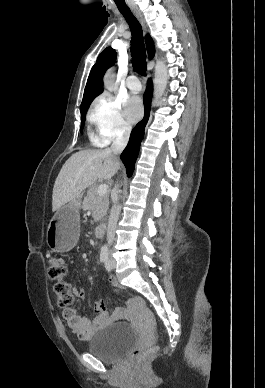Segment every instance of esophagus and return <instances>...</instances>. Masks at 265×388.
I'll list each match as a JSON object with an SVG mask.
<instances>
[{"label":"esophagus","mask_w":265,"mask_h":388,"mask_svg":"<svg viewBox=\"0 0 265 388\" xmlns=\"http://www.w3.org/2000/svg\"><path fill=\"white\" fill-rule=\"evenodd\" d=\"M131 12L133 13V15H135V17L137 18V20L140 22V24H141L142 27H143V30L147 33V32H148V27H147V24H146V22H145V19H144L142 13L140 12V10L132 9Z\"/></svg>","instance_id":"esophagus-1"}]
</instances>
